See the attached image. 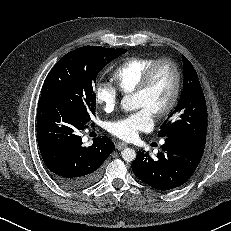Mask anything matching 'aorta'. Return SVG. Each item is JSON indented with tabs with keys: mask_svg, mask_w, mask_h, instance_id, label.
<instances>
[{
	"mask_svg": "<svg viewBox=\"0 0 231 231\" xmlns=\"http://www.w3.org/2000/svg\"><path fill=\"white\" fill-rule=\"evenodd\" d=\"M121 105L126 111H133L137 109V106L134 102V98L132 95H125L121 100ZM122 158L126 162H132L136 158V153L133 149L126 148L122 151Z\"/></svg>",
	"mask_w": 231,
	"mask_h": 231,
	"instance_id": "aorta-1",
	"label": "aorta"
}]
</instances>
